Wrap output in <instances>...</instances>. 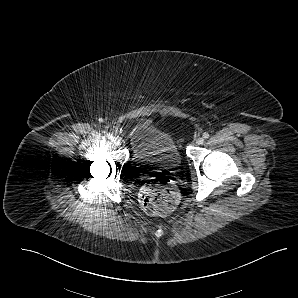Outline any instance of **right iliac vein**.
I'll use <instances>...</instances> for the list:
<instances>
[{
    "instance_id": "obj_1",
    "label": "right iliac vein",
    "mask_w": 298,
    "mask_h": 298,
    "mask_svg": "<svg viewBox=\"0 0 298 298\" xmlns=\"http://www.w3.org/2000/svg\"><path fill=\"white\" fill-rule=\"evenodd\" d=\"M112 141H113V143L115 144V145H121V140L118 138V137H114L113 139H112Z\"/></svg>"
}]
</instances>
